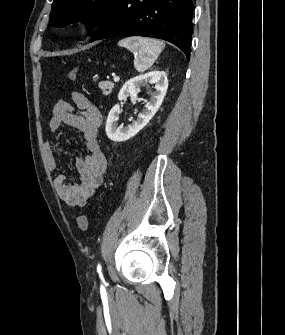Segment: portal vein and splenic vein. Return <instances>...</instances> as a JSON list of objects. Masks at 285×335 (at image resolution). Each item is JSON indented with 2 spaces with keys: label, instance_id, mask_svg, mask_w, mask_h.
<instances>
[{
  "label": "portal vein and splenic vein",
  "instance_id": "1",
  "mask_svg": "<svg viewBox=\"0 0 285 335\" xmlns=\"http://www.w3.org/2000/svg\"><path fill=\"white\" fill-rule=\"evenodd\" d=\"M120 78L119 76H114V82H119Z\"/></svg>",
  "mask_w": 285,
  "mask_h": 335
}]
</instances>
